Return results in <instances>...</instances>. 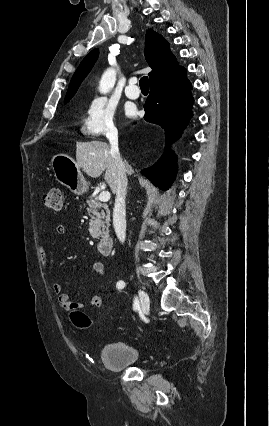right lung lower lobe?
<instances>
[{
    "mask_svg": "<svg viewBox=\"0 0 269 426\" xmlns=\"http://www.w3.org/2000/svg\"><path fill=\"white\" fill-rule=\"evenodd\" d=\"M191 88V83L186 78V69L179 66L150 84V95L144 105V119L165 130L166 144L160 160L142 173L163 190L169 188L177 171L176 157L169 146L181 136L192 117Z\"/></svg>",
    "mask_w": 269,
    "mask_h": 426,
    "instance_id": "98d812e1",
    "label": "right lung lower lobe"
}]
</instances>
